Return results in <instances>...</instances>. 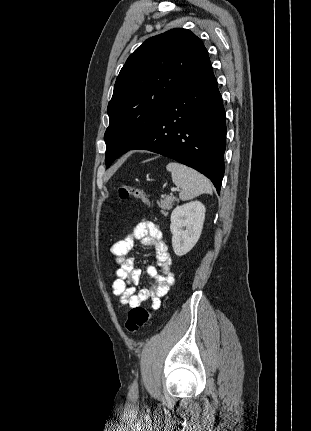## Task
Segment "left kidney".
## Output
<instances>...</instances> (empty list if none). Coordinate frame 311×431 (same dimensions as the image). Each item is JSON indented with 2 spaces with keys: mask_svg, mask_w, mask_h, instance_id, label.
<instances>
[{
  "mask_svg": "<svg viewBox=\"0 0 311 431\" xmlns=\"http://www.w3.org/2000/svg\"><path fill=\"white\" fill-rule=\"evenodd\" d=\"M204 219L205 206L201 202L176 206L170 223L172 247L176 255H185L194 247L201 235Z\"/></svg>",
  "mask_w": 311,
  "mask_h": 431,
  "instance_id": "left-kidney-1",
  "label": "left kidney"
}]
</instances>
